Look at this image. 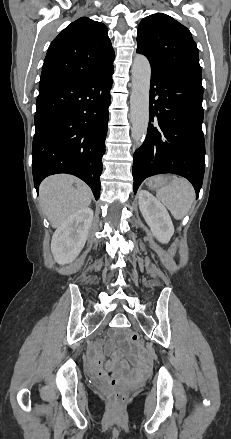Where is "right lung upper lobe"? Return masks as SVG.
<instances>
[{"mask_svg": "<svg viewBox=\"0 0 231 439\" xmlns=\"http://www.w3.org/2000/svg\"><path fill=\"white\" fill-rule=\"evenodd\" d=\"M107 27L87 17L68 25L50 44L39 89L85 80L113 65Z\"/></svg>", "mask_w": 231, "mask_h": 439, "instance_id": "obj_1", "label": "right lung upper lobe"}]
</instances>
